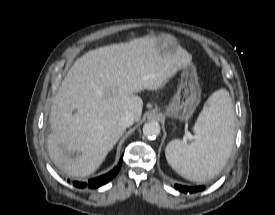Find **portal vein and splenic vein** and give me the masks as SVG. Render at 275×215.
<instances>
[{"instance_id":"1","label":"portal vein and splenic vein","mask_w":275,"mask_h":215,"mask_svg":"<svg viewBox=\"0 0 275 215\" xmlns=\"http://www.w3.org/2000/svg\"><path fill=\"white\" fill-rule=\"evenodd\" d=\"M186 136L189 137V138H191V135H190V133L188 131H186Z\"/></svg>"}]
</instances>
